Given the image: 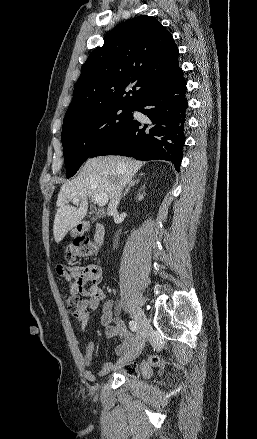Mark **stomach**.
Wrapping results in <instances>:
<instances>
[{
    "instance_id": "stomach-1",
    "label": "stomach",
    "mask_w": 257,
    "mask_h": 439,
    "mask_svg": "<svg viewBox=\"0 0 257 439\" xmlns=\"http://www.w3.org/2000/svg\"><path fill=\"white\" fill-rule=\"evenodd\" d=\"M71 233H72V235H76V231L75 230H73Z\"/></svg>"
}]
</instances>
